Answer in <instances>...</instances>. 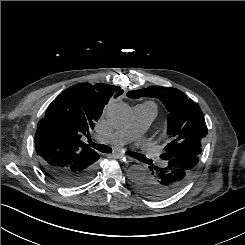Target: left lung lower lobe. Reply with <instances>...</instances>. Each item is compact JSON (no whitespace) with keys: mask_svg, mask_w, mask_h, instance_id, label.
I'll return each instance as SVG.
<instances>
[{"mask_svg":"<svg viewBox=\"0 0 245 245\" xmlns=\"http://www.w3.org/2000/svg\"><path fill=\"white\" fill-rule=\"evenodd\" d=\"M199 156L181 154L165 162L164 167L151 165V174L136 182V189L153 200H163L179 192L189 181Z\"/></svg>","mask_w":245,"mask_h":245,"instance_id":"left-lung-lower-lobe-1","label":"left lung lower lobe"}]
</instances>
